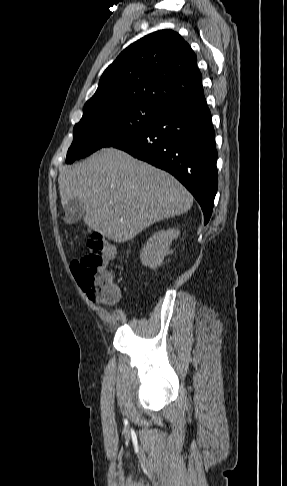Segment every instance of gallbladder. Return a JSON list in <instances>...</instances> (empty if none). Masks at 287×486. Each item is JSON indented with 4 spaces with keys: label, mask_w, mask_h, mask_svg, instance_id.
<instances>
[{
    "label": "gallbladder",
    "mask_w": 287,
    "mask_h": 486,
    "mask_svg": "<svg viewBox=\"0 0 287 486\" xmlns=\"http://www.w3.org/2000/svg\"><path fill=\"white\" fill-rule=\"evenodd\" d=\"M64 222L72 225L77 223L85 214L84 204L78 199L73 198L64 207Z\"/></svg>",
    "instance_id": "1"
}]
</instances>
